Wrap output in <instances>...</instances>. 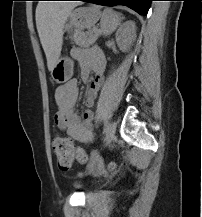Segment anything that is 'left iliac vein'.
I'll list each match as a JSON object with an SVG mask.
<instances>
[{"label":"left iliac vein","mask_w":202,"mask_h":217,"mask_svg":"<svg viewBox=\"0 0 202 217\" xmlns=\"http://www.w3.org/2000/svg\"><path fill=\"white\" fill-rule=\"evenodd\" d=\"M116 131V124L114 122H109L105 125V138L104 142L105 144H109L112 142L114 135ZM99 156L98 155H93L90 160V166H93L96 164L98 161Z\"/></svg>","instance_id":"obj_1"}]
</instances>
